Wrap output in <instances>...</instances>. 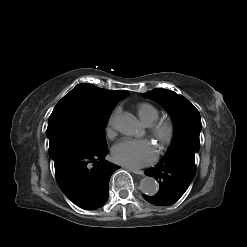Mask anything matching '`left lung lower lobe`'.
<instances>
[{
	"label": "left lung lower lobe",
	"mask_w": 247,
	"mask_h": 247,
	"mask_svg": "<svg viewBox=\"0 0 247 247\" xmlns=\"http://www.w3.org/2000/svg\"><path fill=\"white\" fill-rule=\"evenodd\" d=\"M196 173L195 153L178 150L169 153L155 166L145 172L154 177L160 185L154 196L143 195L154 205L166 206L175 203L187 190Z\"/></svg>",
	"instance_id": "0a47b994"
}]
</instances>
